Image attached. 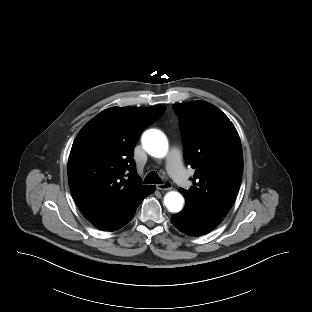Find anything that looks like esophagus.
<instances>
[{
    "label": "esophagus",
    "instance_id": "1",
    "mask_svg": "<svg viewBox=\"0 0 312 312\" xmlns=\"http://www.w3.org/2000/svg\"><path fill=\"white\" fill-rule=\"evenodd\" d=\"M158 190H170L172 188V183L170 181H166L164 183L156 185Z\"/></svg>",
    "mask_w": 312,
    "mask_h": 312
}]
</instances>
